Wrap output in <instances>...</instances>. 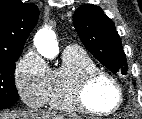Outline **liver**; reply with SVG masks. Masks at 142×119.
<instances>
[{
  "mask_svg": "<svg viewBox=\"0 0 142 119\" xmlns=\"http://www.w3.org/2000/svg\"><path fill=\"white\" fill-rule=\"evenodd\" d=\"M65 115L49 111H23L14 114H1L0 119H67Z\"/></svg>",
  "mask_w": 142,
  "mask_h": 119,
  "instance_id": "6515ba94",
  "label": "liver"
}]
</instances>
